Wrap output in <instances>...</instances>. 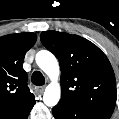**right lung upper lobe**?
Returning a JSON list of instances; mask_svg holds the SVG:
<instances>
[{"label": "right lung upper lobe", "instance_id": "1", "mask_svg": "<svg viewBox=\"0 0 119 119\" xmlns=\"http://www.w3.org/2000/svg\"><path fill=\"white\" fill-rule=\"evenodd\" d=\"M36 40L34 33L0 37V112L24 105L35 98L27 86L23 61Z\"/></svg>", "mask_w": 119, "mask_h": 119}]
</instances>
